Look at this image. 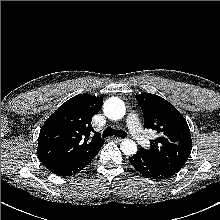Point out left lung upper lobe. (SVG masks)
<instances>
[{
  "mask_svg": "<svg viewBox=\"0 0 220 220\" xmlns=\"http://www.w3.org/2000/svg\"><path fill=\"white\" fill-rule=\"evenodd\" d=\"M136 99L144 112V126L159 134L157 139L150 141L149 149L141 148L138 152L168 168L181 169L192 149L186 120L174 106L158 95L143 93Z\"/></svg>",
  "mask_w": 220,
  "mask_h": 220,
  "instance_id": "left-lung-upper-lobe-1",
  "label": "left lung upper lobe"
}]
</instances>
